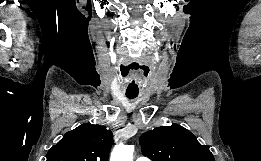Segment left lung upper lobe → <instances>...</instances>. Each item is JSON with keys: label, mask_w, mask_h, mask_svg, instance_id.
Segmentation results:
<instances>
[{"label": "left lung upper lobe", "mask_w": 261, "mask_h": 161, "mask_svg": "<svg viewBox=\"0 0 261 161\" xmlns=\"http://www.w3.org/2000/svg\"><path fill=\"white\" fill-rule=\"evenodd\" d=\"M142 152L152 161H215L208 145H201L184 127L161 126L139 138Z\"/></svg>", "instance_id": "obj_1"}]
</instances>
